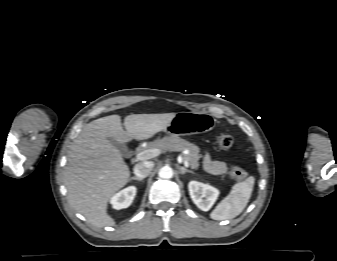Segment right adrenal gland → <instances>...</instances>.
Instances as JSON below:
<instances>
[{
  "label": "right adrenal gland",
  "instance_id": "2a0ac1e0",
  "mask_svg": "<svg viewBox=\"0 0 337 261\" xmlns=\"http://www.w3.org/2000/svg\"><path fill=\"white\" fill-rule=\"evenodd\" d=\"M130 180L142 181L143 178H140V177H131Z\"/></svg>",
  "mask_w": 337,
  "mask_h": 261
}]
</instances>
